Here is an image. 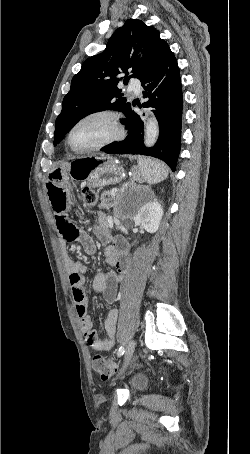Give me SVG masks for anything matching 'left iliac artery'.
<instances>
[{
  "label": "left iliac artery",
  "instance_id": "left-iliac-artery-1",
  "mask_svg": "<svg viewBox=\"0 0 250 454\" xmlns=\"http://www.w3.org/2000/svg\"><path fill=\"white\" fill-rule=\"evenodd\" d=\"M125 352L124 350V346H120L118 352H117V356L120 357L121 355H123Z\"/></svg>",
  "mask_w": 250,
  "mask_h": 454
}]
</instances>
